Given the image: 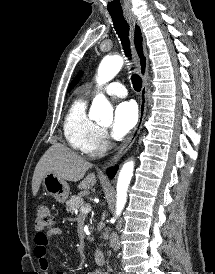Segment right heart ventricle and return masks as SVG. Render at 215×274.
Listing matches in <instances>:
<instances>
[{
    "mask_svg": "<svg viewBox=\"0 0 215 274\" xmlns=\"http://www.w3.org/2000/svg\"><path fill=\"white\" fill-rule=\"evenodd\" d=\"M98 125L87 114V102L76 98L70 105L64 119V135L68 144L77 151L88 153L92 137Z\"/></svg>",
    "mask_w": 215,
    "mask_h": 274,
    "instance_id": "e07e8e85",
    "label": "right heart ventricle"
}]
</instances>
